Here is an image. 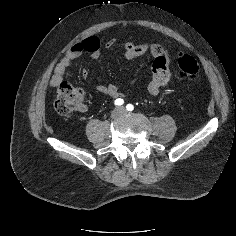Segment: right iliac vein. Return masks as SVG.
Instances as JSON below:
<instances>
[{"label": "right iliac vein", "mask_w": 236, "mask_h": 236, "mask_svg": "<svg viewBox=\"0 0 236 236\" xmlns=\"http://www.w3.org/2000/svg\"><path fill=\"white\" fill-rule=\"evenodd\" d=\"M123 113H124L123 108H116L112 111L111 117L115 119V118H118L119 116H121Z\"/></svg>", "instance_id": "right-iliac-vein-1"}]
</instances>
